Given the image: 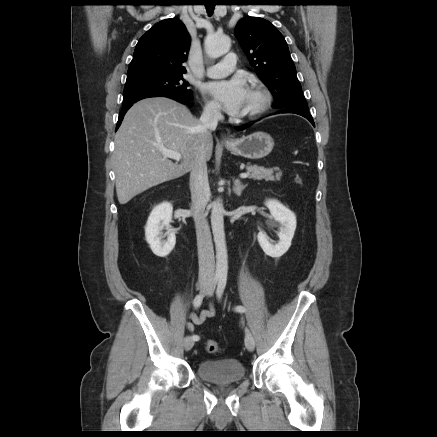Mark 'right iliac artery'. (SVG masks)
Here are the masks:
<instances>
[{
  "mask_svg": "<svg viewBox=\"0 0 437 437\" xmlns=\"http://www.w3.org/2000/svg\"><path fill=\"white\" fill-rule=\"evenodd\" d=\"M217 281H218V278H215L214 281H213V284L215 285L217 283ZM203 298H204V294H198L195 297V299L193 301V304H194V306L196 308H198L201 305V303L203 301ZM192 338H193L194 341H198L199 340V336L198 335H193Z\"/></svg>",
  "mask_w": 437,
  "mask_h": 437,
  "instance_id": "right-iliac-artery-1",
  "label": "right iliac artery"
}]
</instances>
